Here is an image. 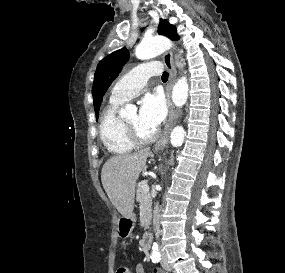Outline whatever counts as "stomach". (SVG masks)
Instances as JSON below:
<instances>
[{
  "label": "stomach",
  "mask_w": 285,
  "mask_h": 273,
  "mask_svg": "<svg viewBox=\"0 0 285 273\" xmlns=\"http://www.w3.org/2000/svg\"><path fill=\"white\" fill-rule=\"evenodd\" d=\"M135 216L131 218H123L119 224L118 231L121 236H127L134 228ZM127 228V229H126Z\"/></svg>",
  "instance_id": "1"
}]
</instances>
